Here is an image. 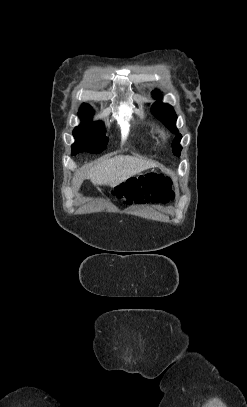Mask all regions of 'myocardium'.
Instances as JSON below:
<instances>
[{
  "mask_svg": "<svg viewBox=\"0 0 247 407\" xmlns=\"http://www.w3.org/2000/svg\"><path fill=\"white\" fill-rule=\"evenodd\" d=\"M160 138L162 139V140H166L167 139V134H166V132L165 131H160Z\"/></svg>",
  "mask_w": 247,
  "mask_h": 407,
  "instance_id": "f54148a6",
  "label": "myocardium"
}]
</instances>
